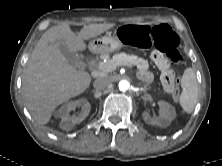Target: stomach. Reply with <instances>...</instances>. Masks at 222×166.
<instances>
[{
  "instance_id": "obj_1",
  "label": "stomach",
  "mask_w": 222,
  "mask_h": 166,
  "mask_svg": "<svg viewBox=\"0 0 222 166\" xmlns=\"http://www.w3.org/2000/svg\"><path fill=\"white\" fill-rule=\"evenodd\" d=\"M121 40L116 35H105L89 43V49L94 53H108L121 49Z\"/></svg>"
}]
</instances>
